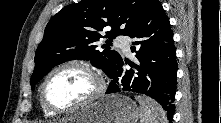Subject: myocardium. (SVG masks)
<instances>
[{
  "label": "myocardium",
  "instance_id": "obj_1",
  "mask_svg": "<svg viewBox=\"0 0 221 123\" xmlns=\"http://www.w3.org/2000/svg\"><path fill=\"white\" fill-rule=\"evenodd\" d=\"M66 68H76L80 69L86 73H88L91 77H93L96 81V88L91 96H89L86 100L82 101L81 103H78L73 106L60 108L52 105L46 96V87L51 79V77L57 73L60 70L66 69ZM106 90V82L104 77L100 72H98L95 68H93L91 65L80 62V61H69L62 64L57 65L52 70L48 72V74L45 76L41 87H40V100L42 105L50 112L54 114H62V113H71L75 112L81 109H84L86 107L91 106L95 102H97L105 93Z\"/></svg>",
  "mask_w": 221,
  "mask_h": 123
}]
</instances>
